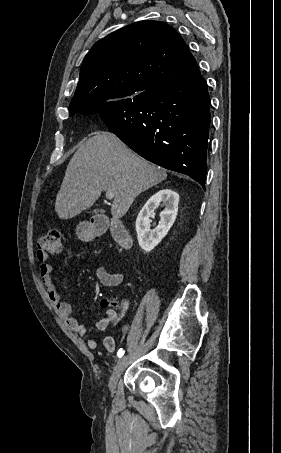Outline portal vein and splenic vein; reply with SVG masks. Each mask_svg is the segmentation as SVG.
<instances>
[{"instance_id": "18ae733b", "label": "portal vein and splenic vein", "mask_w": 281, "mask_h": 453, "mask_svg": "<svg viewBox=\"0 0 281 453\" xmlns=\"http://www.w3.org/2000/svg\"><path fill=\"white\" fill-rule=\"evenodd\" d=\"M114 196H115L114 192H110V190H107L106 198H109V200H112V198H114Z\"/></svg>"}]
</instances>
